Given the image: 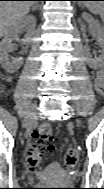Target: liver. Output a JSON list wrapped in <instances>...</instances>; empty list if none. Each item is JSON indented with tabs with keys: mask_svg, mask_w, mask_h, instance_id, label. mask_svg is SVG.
<instances>
[{
	"mask_svg": "<svg viewBox=\"0 0 104 189\" xmlns=\"http://www.w3.org/2000/svg\"><path fill=\"white\" fill-rule=\"evenodd\" d=\"M34 4V1H1L0 34L5 35L9 32Z\"/></svg>",
	"mask_w": 104,
	"mask_h": 189,
	"instance_id": "obj_1",
	"label": "liver"
}]
</instances>
